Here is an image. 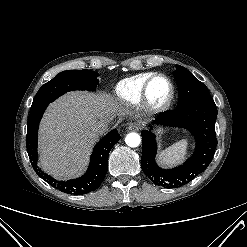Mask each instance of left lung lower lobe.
Wrapping results in <instances>:
<instances>
[{
    "label": "left lung lower lobe",
    "instance_id": "0a47b994",
    "mask_svg": "<svg viewBox=\"0 0 247 247\" xmlns=\"http://www.w3.org/2000/svg\"><path fill=\"white\" fill-rule=\"evenodd\" d=\"M217 108L214 101H202L175 111H167L154 123L181 127L195 137L194 154L181 166L162 169L155 162L157 146L151 131H142L141 167L149 179L158 186L176 188L187 184L202 173L210 164L217 146L215 121Z\"/></svg>",
    "mask_w": 247,
    "mask_h": 247
}]
</instances>
